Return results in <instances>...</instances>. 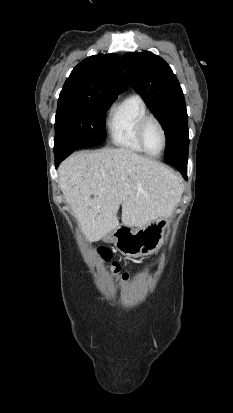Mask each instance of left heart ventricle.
I'll use <instances>...</instances> for the list:
<instances>
[{
    "mask_svg": "<svg viewBox=\"0 0 233 413\" xmlns=\"http://www.w3.org/2000/svg\"><path fill=\"white\" fill-rule=\"evenodd\" d=\"M144 142L149 152L158 153L163 145L160 128L154 121H149L144 129Z\"/></svg>",
    "mask_w": 233,
    "mask_h": 413,
    "instance_id": "1",
    "label": "left heart ventricle"
}]
</instances>
